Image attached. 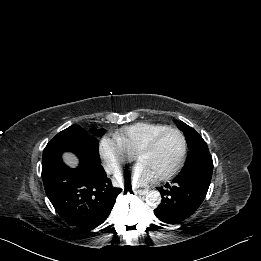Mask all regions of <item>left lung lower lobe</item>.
I'll list each match as a JSON object with an SVG mask.
<instances>
[{"mask_svg": "<svg viewBox=\"0 0 261 261\" xmlns=\"http://www.w3.org/2000/svg\"><path fill=\"white\" fill-rule=\"evenodd\" d=\"M212 171L213 161L208 147L194 154L172 184L158 188L162 201L154 210L156 217L168 224L190 217L207 194Z\"/></svg>", "mask_w": 261, "mask_h": 261, "instance_id": "obj_1", "label": "left lung lower lobe"}]
</instances>
